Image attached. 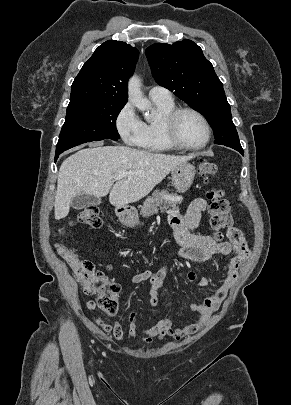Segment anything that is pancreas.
<instances>
[{
    "label": "pancreas",
    "mask_w": 291,
    "mask_h": 405,
    "mask_svg": "<svg viewBox=\"0 0 291 405\" xmlns=\"http://www.w3.org/2000/svg\"><path fill=\"white\" fill-rule=\"evenodd\" d=\"M180 202L181 199L176 194H169L166 190L154 191L152 196H149L144 201L140 214L147 218L158 213L159 209L161 212H168L169 208L176 210Z\"/></svg>",
    "instance_id": "cf45deb5"
}]
</instances>
